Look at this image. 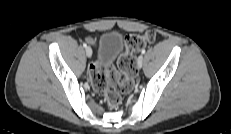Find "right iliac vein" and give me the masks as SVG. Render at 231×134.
<instances>
[{
    "instance_id": "63e3f726",
    "label": "right iliac vein",
    "mask_w": 231,
    "mask_h": 134,
    "mask_svg": "<svg viewBox=\"0 0 231 134\" xmlns=\"http://www.w3.org/2000/svg\"><path fill=\"white\" fill-rule=\"evenodd\" d=\"M86 55L87 57H91L92 56V49L90 47H86Z\"/></svg>"
}]
</instances>
